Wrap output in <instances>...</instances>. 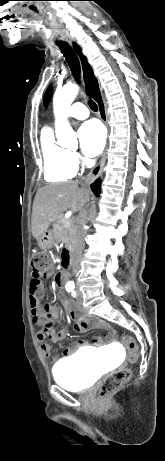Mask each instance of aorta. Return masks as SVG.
Returning a JSON list of instances; mask_svg holds the SVG:
<instances>
[{
    "label": "aorta",
    "mask_w": 165,
    "mask_h": 461,
    "mask_svg": "<svg viewBox=\"0 0 165 461\" xmlns=\"http://www.w3.org/2000/svg\"><path fill=\"white\" fill-rule=\"evenodd\" d=\"M79 87L75 84H67L58 89L53 98L55 114V133L58 144L72 149L78 146L77 135L66 119V113L78 94Z\"/></svg>",
    "instance_id": "1"
}]
</instances>
